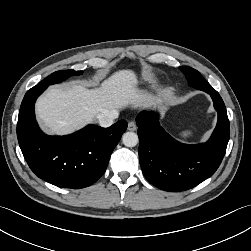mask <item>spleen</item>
<instances>
[{"instance_id":"3e777b00","label":"spleen","mask_w":251,"mask_h":251,"mask_svg":"<svg viewBox=\"0 0 251 251\" xmlns=\"http://www.w3.org/2000/svg\"><path fill=\"white\" fill-rule=\"evenodd\" d=\"M178 135L181 139L187 140L188 138H191L193 136V132L192 130H185L180 132Z\"/></svg>"}]
</instances>
